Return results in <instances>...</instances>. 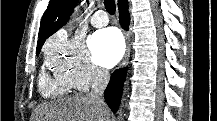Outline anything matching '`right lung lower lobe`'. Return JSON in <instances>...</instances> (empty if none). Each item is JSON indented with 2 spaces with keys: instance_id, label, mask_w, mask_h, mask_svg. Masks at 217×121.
I'll return each mask as SVG.
<instances>
[{
  "instance_id": "obj_1",
  "label": "right lung lower lobe",
  "mask_w": 217,
  "mask_h": 121,
  "mask_svg": "<svg viewBox=\"0 0 217 121\" xmlns=\"http://www.w3.org/2000/svg\"><path fill=\"white\" fill-rule=\"evenodd\" d=\"M118 7L121 26L127 30L130 22L127 1L121 0L118 2ZM125 77L126 68L116 70L104 92L106 103L113 112L119 108Z\"/></svg>"
}]
</instances>
